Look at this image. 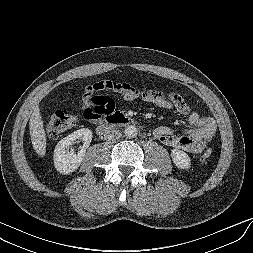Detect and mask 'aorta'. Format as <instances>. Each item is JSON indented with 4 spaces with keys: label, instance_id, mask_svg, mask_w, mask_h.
Wrapping results in <instances>:
<instances>
[{
    "label": "aorta",
    "instance_id": "aorta-1",
    "mask_svg": "<svg viewBox=\"0 0 253 253\" xmlns=\"http://www.w3.org/2000/svg\"><path fill=\"white\" fill-rule=\"evenodd\" d=\"M124 134L127 138L132 139L137 136L138 130L134 125H129L125 128Z\"/></svg>",
    "mask_w": 253,
    "mask_h": 253
}]
</instances>
